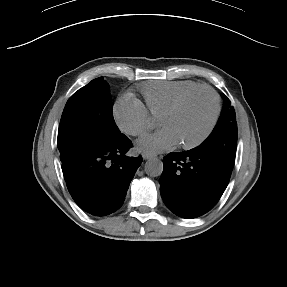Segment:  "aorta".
I'll use <instances>...</instances> for the list:
<instances>
[{"instance_id":"762f6f07","label":"aorta","mask_w":287,"mask_h":287,"mask_svg":"<svg viewBox=\"0 0 287 287\" xmlns=\"http://www.w3.org/2000/svg\"><path fill=\"white\" fill-rule=\"evenodd\" d=\"M145 172L151 177H158L163 172V162L158 158H152L145 163Z\"/></svg>"}]
</instances>
